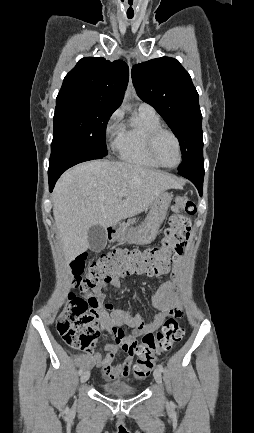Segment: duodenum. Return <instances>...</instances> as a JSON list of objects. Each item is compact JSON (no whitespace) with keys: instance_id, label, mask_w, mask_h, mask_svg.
Wrapping results in <instances>:
<instances>
[{"instance_id":"duodenum-1","label":"duodenum","mask_w":254,"mask_h":433,"mask_svg":"<svg viewBox=\"0 0 254 433\" xmlns=\"http://www.w3.org/2000/svg\"><path fill=\"white\" fill-rule=\"evenodd\" d=\"M119 230H120V225L118 223L109 226L107 229L108 238H113L117 234V232H119Z\"/></svg>"}]
</instances>
